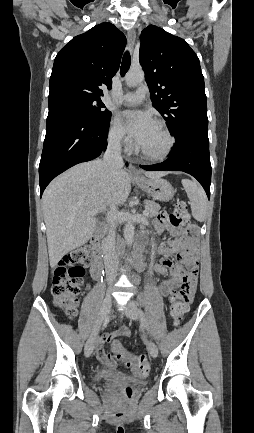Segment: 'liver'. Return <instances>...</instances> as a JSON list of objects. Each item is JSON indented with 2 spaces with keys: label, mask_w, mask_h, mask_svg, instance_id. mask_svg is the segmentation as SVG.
<instances>
[{
  "label": "liver",
  "mask_w": 254,
  "mask_h": 433,
  "mask_svg": "<svg viewBox=\"0 0 254 433\" xmlns=\"http://www.w3.org/2000/svg\"><path fill=\"white\" fill-rule=\"evenodd\" d=\"M144 173L160 178L168 172ZM130 191L129 174L123 169L112 173L100 159L78 164L56 178L43 195L50 266L91 238L98 222L93 210L125 203Z\"/></svg>",
  "instance_id": "obj_1"
}]
</instances>
